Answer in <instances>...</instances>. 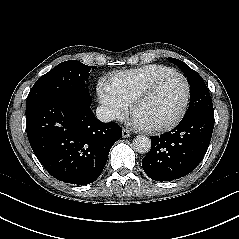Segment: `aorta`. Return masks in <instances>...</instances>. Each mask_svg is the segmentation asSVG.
Listing matches in <instances>:
<instances>
[{"instance_id":"1","label":"aorta","mask_w":239,"mask_h":239,"mask_svg":"<svg viewBox=\"0 0 239 239\" xmlns=\"http://www.w3.org/2000/svg\"><path fill=\"white\" fill-rule=\"evenodd\" d=\"M133 148L138 153H148L151 149V141L146 136L138 135L133 139Z\"/></svg>"}]
</instances>
